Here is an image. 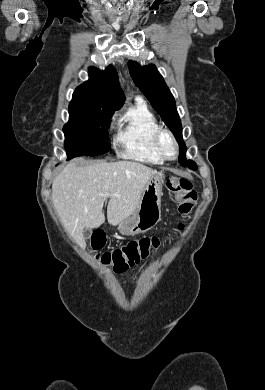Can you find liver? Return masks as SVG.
Instances as JSON below:
<instances>
[{
  "label": "liver",
  "mask_w": 265,
  "mask_h": 390,
  "mask_svg": "<svg viewBox=\"0 0 265 390\" xmlns=\"http://www.w3.org/2000/svg\"><path fill=\"white\" fill-rule=\"evenodd\" d=\"M144 164L133 161L101 162L81 166L80 159L54 178L52 203L75 242L85 246L83 231L105 222L103 204L108 197L107 219L116 226L132 215L149 179L156 175ZM109 193L107 197L103 195Z\"/></svg>",
  "instance_id": "1"
}]
</instances>
